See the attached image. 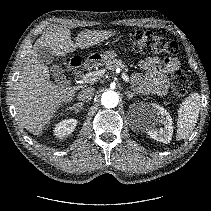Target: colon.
Masks as SVG:
<instances>
[{
    "label": "colon",
    "instance_id": "colon-1",
    "mask_svg": "<svg viewBox=\"0 0 211 211\" xmlns=\"http://www.w3.org/2000/svg\"><path fill=\"white\" fill-rule=\"evenodd\" d=\"M132 41L136 51L146 54H161L174 56L178 53V45L163 36L148 29L137 30L132 34ZM81 62L79 58H72L69 65L72 69H78ZM191 88V81L187 74L176 69L172 74V93L176 98L184 97Z\"/></svg>",
    "mask_w": 211,
    "mask_h": 211
}]
</instances>
